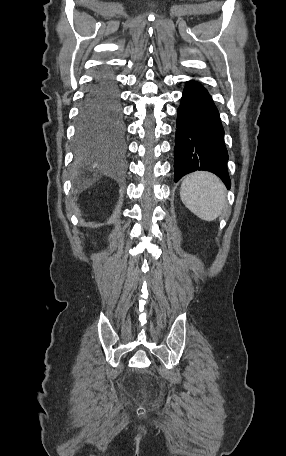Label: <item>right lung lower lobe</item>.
I'll return each instance as SVG.
<instances>
[{
	"mask_svg": "<svg viewBox=\"0 0 286 456\" xmlns=\"http://www.w3.org/2000/svg\"><path fill=\"white\" fill-rule=\"evenodd\" d=\"M96 122L109 126L122 125L119 133L106 132L121 136L124 132L119 90L111 72L103 68L96 74L93 85L87 91L79 114V125Z\"/></svg>",
	"mask_w": 286,
	"mask_h": 456,
	"instance_id": "1",
	"label": "right lung lower lobe"
}]
</instances>
